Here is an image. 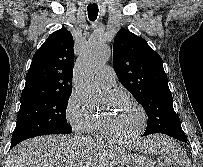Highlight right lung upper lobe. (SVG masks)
I'll return each instance as SVG.
<instances>
[{
	"mask_svg": "<svg viewBox=\"0 0 203 167\" xmlns=\"http://www.w3.org/2000/svg\"><path fill=\"white\" fill-rule=\"evenodd\" d=\"M73 65V37L66 28H61L52 33L34 54L21 101L71 94Z\"/></svg>",
	"mask_w": 203,
	"mask_h": 167,
	"instance_id": "1",
	"label": "right lung upper lobe"
}]
</instances>
